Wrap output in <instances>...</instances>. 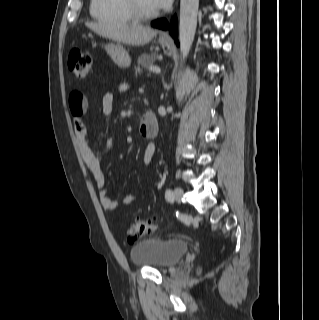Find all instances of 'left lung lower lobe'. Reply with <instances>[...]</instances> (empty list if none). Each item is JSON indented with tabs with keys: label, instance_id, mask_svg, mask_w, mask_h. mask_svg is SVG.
I'll return each mask as SVG.
<instances>
[{
	"label": "left lung lower lobe",
	"instance_id": "0a47b994",
	"mask_svg": "<svg viewBox=\"0 0 319 320\" xmlns=\"http://www.w3.org/2000/svg\"><path fill=\"white\" fill-rule=\"evenodd\" d=\"M151 25L153 27L164 29V30L169 29L171 35L174 38H177V20H176V17L173 18V20L171 21L170 25L168 24L167 20H165V19H159V20L153 21L151 23ZM176 42L179 45L178 41H176Z\"/></svg>",
	"mask_w": 319,
	"mask_h": 320
}]
</instances>
